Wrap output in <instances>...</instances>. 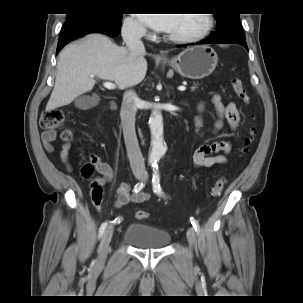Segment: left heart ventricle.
<instances>
[{"instance_id": "left-heart-ventricle-1", "label": "left heart ventricle", "mask_w": 303, "mask_h": 303, "mask_svg": "<svg viewBox=\"0 0 303 303\" xmlns=\"http://www.w3.org/2000/svg\"><path fill=\"white\" fill-rule=\"evenodd\" d=\"M206 20L203 14H176L170 34L186 35L200 31L205 26Z\"/></svg>"}]
</instances>
